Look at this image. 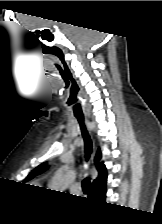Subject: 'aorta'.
<instances>
[{
    "mask_svg": "<svg viewBox=\"0 0 162 224\" xmlns=\"http://www.w3.org/2000/svg\"><path fill=\"white\" fill-rule=\"evenodd\" d=\"M65 170V168H61L59 171H58V173H57V175H56V177H55V181H54V183H53V188H58V186H59V182H60V179H61V176H62V173H63V171Z\"/></svg>",
    "mask_w": 162,
    "mask_h": 224,
    "instance_id": "aorta-1",
    "label": "aorta"
}]
</instances>
